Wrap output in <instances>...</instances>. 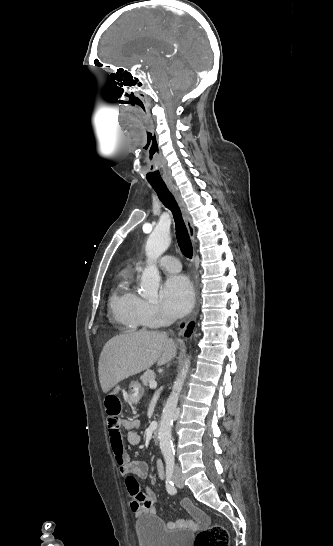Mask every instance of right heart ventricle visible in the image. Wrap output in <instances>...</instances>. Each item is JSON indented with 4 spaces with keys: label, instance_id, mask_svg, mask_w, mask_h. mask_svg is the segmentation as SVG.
Returning a JSON list of instances; mask_svg holds the SVG:
<instances>
[{
    "label": "right heart ventricle",
    "instance_id": "obj_1",
    "mask_svg": "<svg viewBox=\"0 0 333 546\" xmlns=\"http://www.w3.org/2000/svg\"><path fill=\"white\" fill-rule=\"evenodd\" d=\"M138 296L133 281V273L126 272L119 278L109 298L112 320L126 330H139L145 323L138 314Z\"/></svg>",
    "mask_w": 333,
    "mask_h": 546
}]
</instances>
